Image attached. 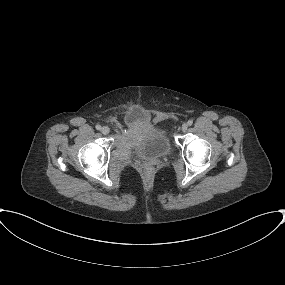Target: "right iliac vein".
<instances>
[{
  "instance_id": "obj_1",
  "label": "right iliac vein",
  "mask_w": 285,
  "mask_h": 285,
  "mask_svg": "<svg viewBox=\"0 0 285 285\" xmlns=\"http://www.w3.org/2000/svg\"><path fill=\"white\" fill-rule=\"evenodd\" d=\"M109 132H110L109 127L103 126V127L101 128V133H102V134L107 135V134H109Z\"/></svg>"
}]
</instances>
